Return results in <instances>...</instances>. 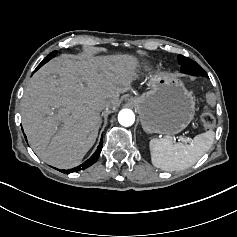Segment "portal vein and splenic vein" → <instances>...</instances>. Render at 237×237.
<instances>
[{
    "instance_id": "portal-vein-and-splenic-vein-1",
    "label": "portal vein and splenic vein",
    "mask_w": 237,
    "mask_h": 237,
    "mask_svg": "<svg viewBox=\"0 0 237 237\" xmlns=\"http://www.w3.org/2000/svg\"><path fill=\"white\" fill-rule=\"evenodd\" d=\"M178 137H179L180 140L183 141V142H191V138L184 139V138H182L183 136H182L181 134H180Z\"/></svg>"
}]
</instances>
